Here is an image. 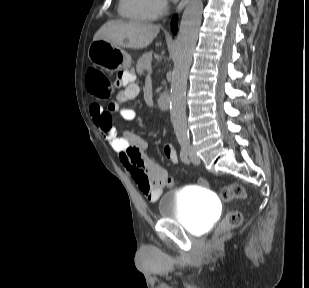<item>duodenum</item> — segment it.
Here are the masks:
<instances>
[{
    "label": "duodenum",
    "instance_id": "1",
    "mask_svg": "<svg viewBox=\"0 0 309 288\" xmlns=\"http://www.w3.org/2000/svg\"><path fill=\"white\" fill-rule=\"evenodd\" d=\"M171 105V96L164 92L157 98V106L159 109L167 111Z\"/></svg>",
    "mask_w": 309,
    "mask_h": 288
}]
</instances>
